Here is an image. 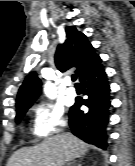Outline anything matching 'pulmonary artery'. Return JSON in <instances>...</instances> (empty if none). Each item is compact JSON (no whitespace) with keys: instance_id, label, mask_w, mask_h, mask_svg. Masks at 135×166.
<instances>
[{"instance_id":"obj_1","label":"pulmonary artery","mask_w":135,"mask_h":166,"mask_svg":"<svg viewBox=\"0 0 135 166\" xmlns=\"http://www.w3.org/2000/svg\"><path fill=\"white\" fill-rule=\"evenodd\" d=\"M67 95L71 98L76 96V90L73 87H69L67 90Z\"/></svg>"}]
</instances>
